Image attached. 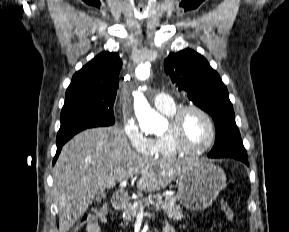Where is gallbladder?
Masks as SVG:
<instances>
[{
	"label": "gallbladder",
	"mask_w": 289,
	"mask_h": 232,
	"mask_svg": "<svg viewBox=\"0 0 289 232\" xmlns=\"http://www.w3.org/2000/svg\"><path fill=\"white\" fill-rule=\"evenodd\" d=\"M106 199V195L105 193L103 192H98L96 195H95V198H94V201L99 203L101 202L102 200Z\"/></svg>",
	"instance_id": "obj_1"
}]
</instances>
